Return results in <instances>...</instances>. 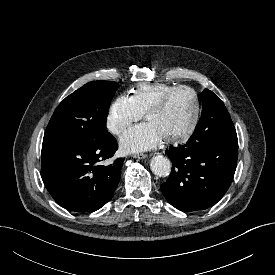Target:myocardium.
Returning <instances> with one entry per match:
<instances>
[{"label": "myocardium", "mask_w": 275, "mask_h": 275, "mask_svg": "<svg viewBox=\"0 0 275 275\" xmlns=\"http://www.w3.org/2000/svg\"><path fill=\"white\" fill-rule=\"evenodd\" d=\"M181 90H187L193 96V99H194L193 119L189 127L186 129V131H184L183 133L177 136L165 138L164 141L166 143H171V144L183 143L187 141L194 134L200 120V112H201V104H200V99L197 91L188 85L174 86L169 90H167L166 92H164L144 113V116L147 119L149 114L160 111L165 106L170 96L173 95L175 92H178Z\"/></svg>", "instance_id": "1"}]
</instances>
